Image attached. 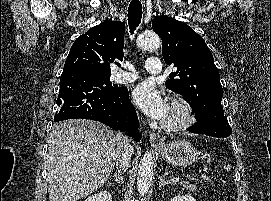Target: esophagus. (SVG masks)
<instances>
[{
    "label": "esophagus",
    "instance_id": "34e87169",
    "mask_svg": "<svg viewBox=\"0 0 271 201\" xmlns=\"http://www.w3.org/2000/svg\"><path fill=\"white\" fill-rule=\"evenodd\" d=\"M149 140H150L151 145L153 146H160L163 144V140L161 136L155 132L150 134Z\"/></svg>",
    "mask_w": 271,
    "mask_h": 201
}]
</instances>
